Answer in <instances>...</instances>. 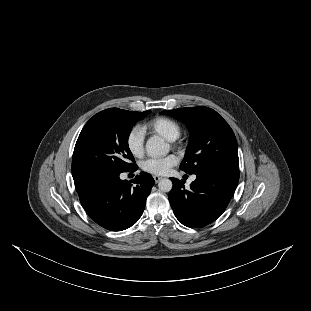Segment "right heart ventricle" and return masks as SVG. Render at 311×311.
I'll return each mask as SVG.
<instances>
[{
	"label": "right heart ventricle",
	"instance_id": "right-heart-ventricle-1",
	"mask_svg": "<svg viewBox=\"0 0 311 311\" xmlns=\"http://www.w3.org/2000/svg\"><path fill=\"white\" fill-rule=\"evenodd\" d=\"M147 126L168 141H175L182 135L181 124L170 117H157L151 120Z\"/></svg>",
	"mask_w": 311,
	"mask_h": 311
}]
</instances>
